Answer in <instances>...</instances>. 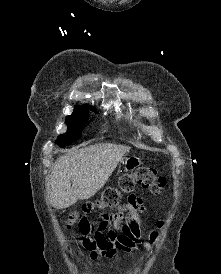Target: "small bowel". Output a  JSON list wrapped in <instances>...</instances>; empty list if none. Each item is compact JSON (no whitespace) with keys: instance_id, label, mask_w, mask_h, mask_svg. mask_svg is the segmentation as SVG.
I'll return each instance as SVG.
<instances>
[{"instance_id":"1","label":"small bowel","mask_w":221,"mask_h":274,"mask_svg":"<svg viewBox=\"0 0 221 274\" xmlns=\"http://www.w3.org/2000/svg\"><path fill=\"white\" fill-rule=\"evenodd\" d=\"M146 212L143 199L130 195L116 211L100 213L97 219L83 216L78 228L81 233L83 247L93 260L114 258L119 252L135 254L141 249L150 250L157 239V231H153L149 240L141 238V213ZM163 223L157 222L161 228Z\"/></svg>"}]
</instances>
